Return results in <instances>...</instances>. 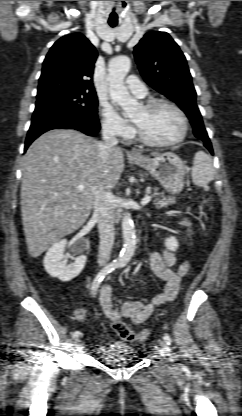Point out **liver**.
Instances as JSON below:
<instances>
[{"instance_id":"obj_1","label":"liver","mask_w":242,"mask_h":416,"mask_svg":"<svg viewBox=\"0 0 242 416\" xmlns=\"http://www.w3.org/2000/svg\"><path fill=\"white\" fill-rule=\"evenodd\" d=\"M100 142L73 129L42 134L23 164L21 212L29 254L36 258L88 219L99 186L111 190L124 170V154L112 149L105 163ZM157 156L158 153H152ZM84 186L83 191L78 186Z\"/></svg>"}]
</instances>
